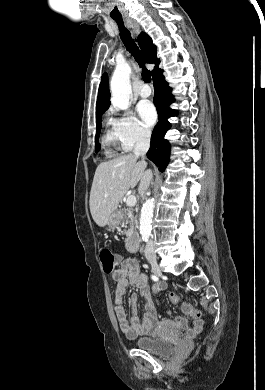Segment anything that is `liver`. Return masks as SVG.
<instances>
[{"instance_id": "obj_1", "label": "liver", "mask_w": 265, "mask_h": 390, "mask_svg": "<svg viewBox=\"0 0 265 390\" xmlns=\"http://www.w3.org/2000/svg\"><path fill=\"white\" fill-rule=\"evenodd\" d=\"M147 163L128 154L98 165L90 192V212L95 223L104 227L129 188L144 176Z\"/></svg>"}]
</instances>
